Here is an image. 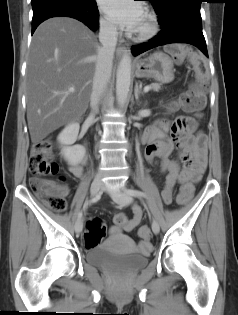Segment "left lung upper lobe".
Returning <instances> with one entry per match:
<instances>
[{"instance_id": "5c2ea615", "label": "left lung upper lobe", "mask_w": 238, "mask_h": 315, "mask_svg": "<svg viewBox=\"0 0 238 315\" xmlns=\"http://www.w3.org/2000/svg\"><path fill=\"white\" fill-rule=\"evenodd\" d=\"M153 4L156 13L165 12L171 7L183 2H201V0H148Z\"/></svg>"}]
</instances>
